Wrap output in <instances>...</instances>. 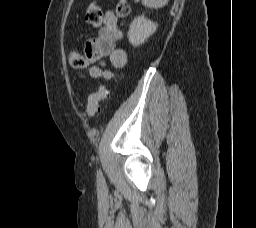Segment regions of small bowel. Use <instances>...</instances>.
<instances>
[{
    "mask_svg": "<svg viewBox=\"0 0 256 228\" xmlns=\"http://www.w3.org/2000/svg\"><path fill=\"white\" fill-rule=\"evenodd\" d=\"M123 37L122 31L118 27V19L112 11H107L104 15L103 26L97 38L90 39L85 46V55L90 62L104 65V60L109 59L115 68H121L126 64L127 55L124 49L116 47V43ZM88 75L92 79H111L114 73L103 70L100 66H92L88 69Z\"/></svg>",
    "mask_w": 256,
    "mask_h": 228,
    "instance_id": "1",
    "label": "small bowel"
}]
</instances>
